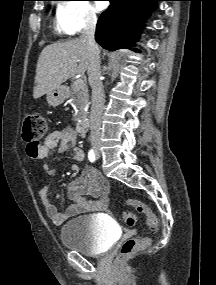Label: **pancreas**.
Wrapping results in <instances>:
<instances>
[{
	"instance_id": "1",
	"label": "pancreas",
	"mask_w": 216,
	"mask_h": 285,
	"mask_svg": "<svg viewBox=\"0 0 216 285\" xmlns=\"http://www.w3.org/2000/svg\"><path fill=\"white\" fill-rule=\"evenodd\" d=\"M70 98L77 109V112L73 115L74 121L85 118L88 114L87 108L89 101L88 87L86 83L84 82L80 87H77L75 83H73L71 85Z\"/></svg>"
}]
</instances>
